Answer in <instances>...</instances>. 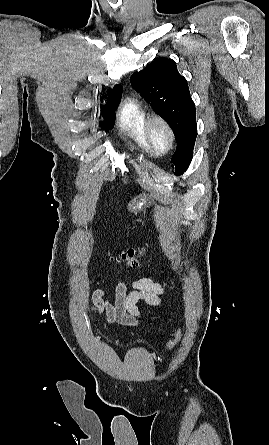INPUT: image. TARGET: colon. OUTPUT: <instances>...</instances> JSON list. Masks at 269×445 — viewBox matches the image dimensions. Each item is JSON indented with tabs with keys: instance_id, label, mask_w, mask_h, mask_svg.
<instances>
[{
	"instance_id": "obj_1",
	"label": "colon",
	"mask_w": 269,
	"mask_h": 445,
	"mask_svg": "<svg viewBox=\"0 0 269 445\" xmlns=\"http://www.w3.org/2000/svg\"><path fill=\"white\" fill-rule=\"evenodd\" d=\"M147 252V247L143 246L140 248H128L123 250L118 255L114 256L113 259L122 262L126 267L135 268L138 266L139 258L142 257ZM180 332H177L173 339H171L167 344V349H173L180 340Z\"/></svg>"
}]
</instances>
